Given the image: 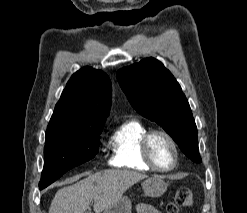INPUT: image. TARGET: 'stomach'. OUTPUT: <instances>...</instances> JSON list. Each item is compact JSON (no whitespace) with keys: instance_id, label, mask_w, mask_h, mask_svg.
Listing matches in <instances>:
<instances>
[{"instance_id":"0dacf381","label":"stomach","mask_w":247,"mask_h":213,"mask_svg":"<svg viewBox=\"0 0 247 213\" xmlns=\"http://www.w3.org/2000/svg\"><path fill=\"white\" fill-rule=\"evenodd\" d=\"M145 196L160 197L167 189V184L160 176H153L142 183ZM132 204L127 197H121L115 204L106 208L103 213H131Z\"/></svg>"}]
</instances>
